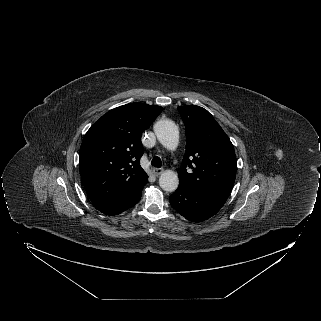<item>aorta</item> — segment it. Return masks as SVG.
Here are the masks:
<instances>
[{
	"label": "aorta",
	"instance_id": "aorta-1",
	"mask_svg": "<svg viewBox=\"0 0 321 321\" xmlns=\"http://www.w3.org/2000/svg\"><path fill=\"white\" fill-rule=\"evenodd\" d=\"M154 132L158 141L168 150H175L179 143V131L176 124L168 119L160 120L154 125ZM160 187L167 192L178 188L179 178L172 170H165L159 177Z\"/></svg>",
	"mask_w": 321,
	"mask_h": 321
}]
</instances>
